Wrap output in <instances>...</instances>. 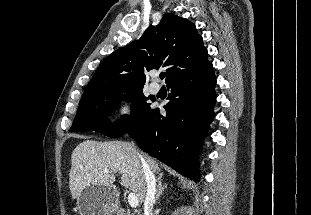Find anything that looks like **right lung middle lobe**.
<instances>
[{
	"label": "right lung middle lobe",
	"instance_id": "1",
	"mask_svg": "<svg viewBox=\"0 0 311 215\" xmlns=\"http://www.w3.org/2000/svg\"><path fill=\"white\" fill-rule=\"evenodd\" d=\"M142 90L123 94H109L91 98L79 103V108L71 127L72 132L94 130L108 137L117 138L126 134L151 111L150 104ZM149 99H151L149 97ZM131 102V114L124 115L114 125L110 116L121 102Z\"/></svg>",
	"mask_w": 311,
	"mask_h": 215
}]
</instances>
